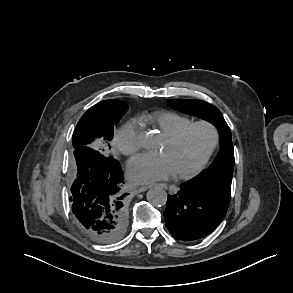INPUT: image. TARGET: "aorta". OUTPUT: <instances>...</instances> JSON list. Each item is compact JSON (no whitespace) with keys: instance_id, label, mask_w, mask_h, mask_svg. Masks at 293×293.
Here are the masks:
<instances>
[{"instance_id":"1","label":"aorta","mask_w":293,"mask_h":293,"mask_svg":"<svg viewBox=\"0 0 293 293\" xmlns=\"http://www.w3.org/2000/svg\"><path fill=\"white\" fill-rule=\"evenodd\" d=\"M140 143L145 150H152L156 146V139L152 135H144ZM147 200L153 206H164L167 202V193L162 188H152L147 192Z\"/></svg>"}]
</instances>
